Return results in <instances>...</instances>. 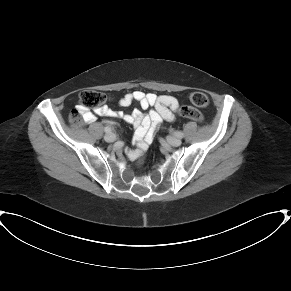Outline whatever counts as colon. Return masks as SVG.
<instances>
[{
    "instance_id": "1",
    "label": "colon",
    "mask_w": 291,
    "mask_h": 291,
    "mask_svg": "<svg viewBox=\"0 0 291 291\" xmlns=\"http://www.w3.org/2000/svg\"><path fill=\"white\" fill-rule=\"evenodd\" d=\"M189 99L190 102L196 107L203 108L206 107L209 103L207 95L201 91H195L191 93ZM79 100L82 109L76 110L70 116V123L74 127H80L83 124V109L90 110L100 108L106 102L107 96L105 93L99 90H84L80 93ZM179 113L181 116L193 119L195 121H200L202 119L201 114L193 108H182ZM145 158L146 152H143L137 160L138 167L143 164Z\"/></svg>"
}]
</instances>
